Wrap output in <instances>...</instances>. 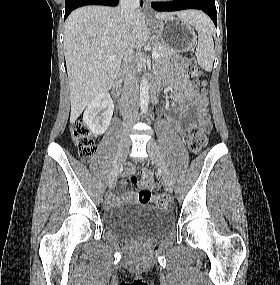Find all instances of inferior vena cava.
Wrapping results in <instances>:
<instances>
[{"instance_id": "1", "label": "inferior vena cava", "mask_w": 280, "mask_h": 285, "mask_svg": "<svg viewBox=\"0 0 280 285\" xmlns=\"http://www.w3.org/2000/svg\"><path fill=\"white\" fill-rule=\"evenodd\" d=\"M120 8L127 22L130 24L135 11L139 8V0H120ZM131 54L132 51L127 54L123 64L125 80L121 95V114L126 124L132 122L137 116L136 105L139 93L136 68Z\"/></svg>"}]
</instances>
